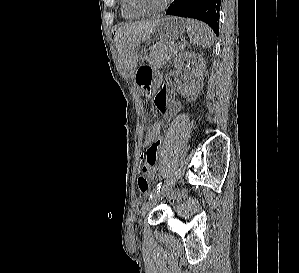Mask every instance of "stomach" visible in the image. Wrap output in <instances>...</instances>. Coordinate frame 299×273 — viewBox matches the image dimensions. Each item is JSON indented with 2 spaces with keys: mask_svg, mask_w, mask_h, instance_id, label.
I'll use <instances>...</instances> for the list:
<instances>
[{
  "mask_svg": "<svg viewBox=\"0 0 299 273\" xmlns=\"http://www.w3.org/2000/svg\"><path fill=\"white\" fill-rule=\"evenodd\" d=\"M186 29V24L183 19L177 17H165L160 19V22L155 28L153 35L160 41L171 42L181 37ZM135 82L142 92L147 95L149 91H153L160 78L161 73L152 67H135Z\"/></svg>",
  "mask_w": 299,
  "mask_h": 273,
  "instance_id": "1",
  "label": "stomach"
}]
</instances>
